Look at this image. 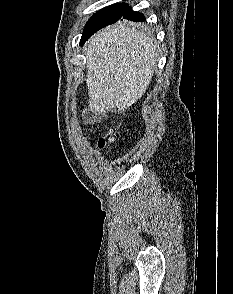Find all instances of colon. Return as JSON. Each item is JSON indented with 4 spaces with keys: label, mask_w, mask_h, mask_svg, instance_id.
Returning a JSON list of instances; mask_svg holds the SVG:
<instances>
[{
    "label": "colon",
    "mask_w": 233,
    "mask_h": 294,
    "mask_svg": "<svg viewBox=\"0 0 233 294\" xmlns=\"http://www.w3.org/2000/svg\"><path fill=\"white\" fill-rule=\"evenodd\" d=\"M111 140V134H109V136L108 137H101V138H99V140H98V142H97V146H98V148L100 149V150H103L106 146H107V144H108V142Z\"/></svg>",
    "instance_id": "1"
}]
</instances>
